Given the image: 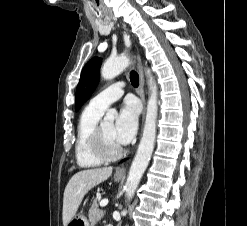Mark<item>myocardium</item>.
<instances>
[{
	"instance_id": "f54148a6",
	"label": "myocardium",
	"mask_w": 247,
	"mask_h": 226,
	"mask_svg": "<svg viewBox=\"0 0 247 226\" xmlns=\"http://www.w3.org/2000/svg\"><path fill=\"white\" fill-rule=\"evenodd\" d=\"M102 125L98 124L91 136V149L94 155L102 162H111L117 160L123 155V148L120 147L115 152H108L103 138Z\"/></svg>"
}]
</instances>
